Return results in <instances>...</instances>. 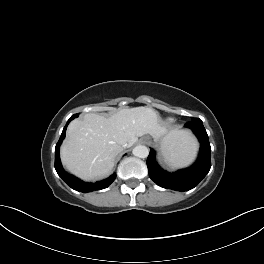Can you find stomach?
Masks as SVG:
<instances>
[{"instance_id":"stomach-1","label":"stomach","mask_w":264,"mask_h":264,"mask_svg":"<svg viewBox=\"0 0 264 264\" xmlns=\"http://www.w3.org/2000/svg\"><path fill=\"white\" fill-rule=\"evenodd\" d=\"M164 144H170V142H168L167 140H163V142H162V146H163Z\"/></svg>"}]
</instances>
